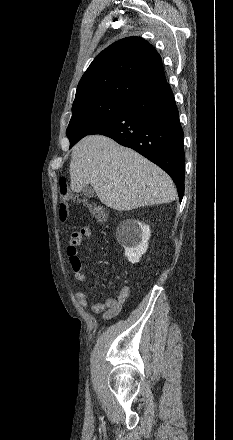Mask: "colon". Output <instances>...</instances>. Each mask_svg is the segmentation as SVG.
<instances>
[{"instance_id":"colon-1","label":"colon","mask_w":233,"mask_h":440,"mask_svg":"<svg viewBox=\"0 0 233 440\" xmlns=\"http://www.w3.org/2000/svg\"><path fill=\"white\" fill-rule=\"evenodd\" d=\"M59 195H60V205H59V216L62 222H65L68 217V205L67 201L72 198L75 202L82 205L88 210L91 216L99 223H105L108 220L107 210L99 205L90 203L84 199L79 198L71 194L68 188V180L65 177L59 179Z\"/></svg>"}]
</instances>
